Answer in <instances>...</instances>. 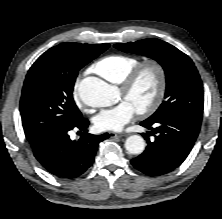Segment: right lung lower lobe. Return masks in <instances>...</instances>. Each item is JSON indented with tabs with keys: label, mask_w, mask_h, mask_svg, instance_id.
<instances>
[{
	"label": "right lung lower lobe",
	"mask_w": 222,
	"mask_h": 219,
	"mask_svg": "<svg viewBox=\"0 0 222 219\" xmlns=\"http://www.w3.org/2000/svg\"><path fill=\"white\" fill-rule=\"evenodd\" d=\"M89 125L81 117L72 124L56 130L32 146L41 165L58 178L73 179L82 175L94 162L98 144L109 137L108 133L92 135L85 130ZM73 128L85 130L81 137L72 141L68 132Z\"/></svg>",
	"instance_id": "right-lung-lower-lobe-1"
}]
</instances>
